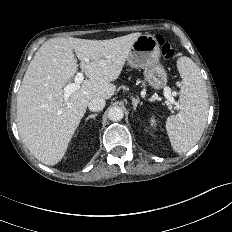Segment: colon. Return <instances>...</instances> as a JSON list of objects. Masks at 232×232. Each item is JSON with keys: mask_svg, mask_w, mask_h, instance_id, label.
I'll return each mask as SVG.
<instances>
[{"mask_svg": "<svg viewBox=\"0 0 232 232\" xmlns=\"http://www.w3.org/2000/svg\"><path fill=\"white\" fill-rule=\"evenodd\" d=\"M157 40L161 47L163 57L167 60L172 59L177 52L176 46L170 42H167L162 36H158Z\"/></svg>", "mask_w": 232, "mask_h": 232, "instance_id": "colon-1", "label": "colon"}]
</instances>
